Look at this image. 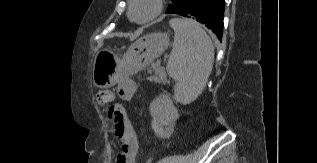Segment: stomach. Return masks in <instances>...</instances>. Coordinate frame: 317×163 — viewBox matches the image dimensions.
Segmentation results:
<instances>
[{
	"label": "stomach",
	"mask_w": 317,
	"mask_h": 163,
	"mask_svg": "<svg viewBox=\"0 0 317 163\" xmlns=\"http://www.w3.org/2000/svg\"><path fill=\"white\" fill-rule=\"evenodd\" d=\"M170 43L167 33L157 32L136 40L118 56L109 49L99 51L93 63V83L98 88H109L142 69L159 57Z\"/></svg>",
	"instance_id": "obj_1"
}]
</instances>
